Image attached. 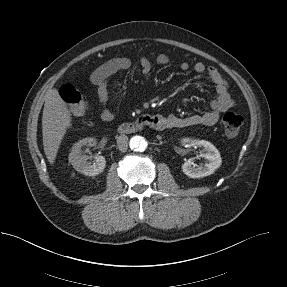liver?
Segmentation results:
<instances>
[{
	"label": "liver",
	"instance_id": "1",
	"mask_svg": "<svg viewBox=\"0 0 287 287\" xmlns=\"http://www.w3.org/2000/svg\"><path fill=\"white\" fill-rule=\"evenodd\" d=\"M71 125V114L57 89L45 94L42 116L43 146L45 155L53 164L67 128Z\"/></svg>",
	"mask_w": 287,
	"mask_h": 287
}]
</instances>
